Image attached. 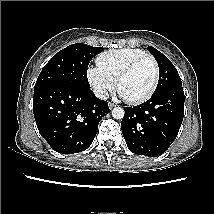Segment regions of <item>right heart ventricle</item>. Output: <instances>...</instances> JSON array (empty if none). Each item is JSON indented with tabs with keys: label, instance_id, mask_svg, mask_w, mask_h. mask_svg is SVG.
<instances>
[{
	"label": "right heart ventricle",
	"instance_id": "right-heart-ventricle-1",
	"mask_svg": "<svg viewBox=\"0 0 214 214\" xmlns=\"http://www.w3.org/2000/svg\"><path fill=\"white\" fill-rule=\"evenodd\" d=\"M146 52L137 48H119L101 53L96 63L99 67L117 79L121 70L134 59L145 55Z\"/></svg>",
	"mask_w": 214,
	"mask_h": 214
}]
</instances>
